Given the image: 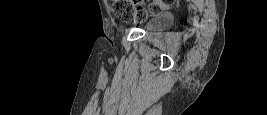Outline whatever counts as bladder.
I'll return each mask as SVG.
<instances>
[{
  "label": "bladder",
  "mask_w": 267,
  "mask_h": 115,
  "mask_svg": "<svg viewBox=\"0 0 267 115\" xmlns=\"http://www.w3.org/2000/svg\"><path fill=\"white\" fill-rule=\"evenodd\" d=\"M173 23V18L168 13H161L153 16L145 25L147 32H160L169 28Z\"/></svg>",
  "instance_id": "31cf9c89"
}]
</instances>
